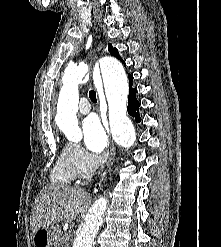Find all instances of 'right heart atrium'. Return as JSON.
Wrapping results in <instances>:
<instances>
[{
    "label": "right heart atrium",
    "mask_w": 221,
    "mask_h": 247,
    "mask_svg": "<svg viewBox=\"0 0 221 247\" xmlns=\"http://www.w3.org/2000/svg\"><path fill=\"white\" fill-rule=\"evenodd\" d=\"M64 149L68 162L76 176L84 175L91 170V158L79 144L68 143Z\"/></svg>",
    "instance_id": "1"
}]
</instances>
